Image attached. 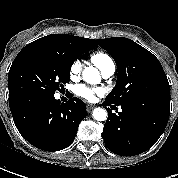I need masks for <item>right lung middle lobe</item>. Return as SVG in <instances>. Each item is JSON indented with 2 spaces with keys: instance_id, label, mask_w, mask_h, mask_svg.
Wrapping results in <instances>:
<instances>
[{
  "instance_id": "dd1d6c3e",
  "label": "right lung middle lobe",
  "mask_w": 178,
  "mask_h": 178,
  "mask_svg": "<svg viewBox=\"0 0 178 178\" xmlns=\"http://www.w3.org/2000/svg\"><path fill=\"white\" fill-rule=\"evenodd\" d=\"M81 54L75 49L36 44L25 46L14 59L8 74L9 96L54 95L70 80V69Z\"/></svg>"
}]
</instances>
